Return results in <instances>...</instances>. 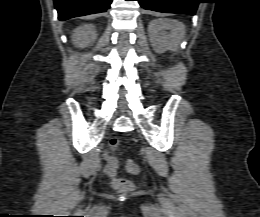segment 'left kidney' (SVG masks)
I'll return each mask as SVG.
<instances>
[{
	"label": "left kidney",
	"instance_id": "obj_1",
	"mask_svg": "<svg viewBox=\"0 0 260 217\" xmlns=\"http://www.w3.org/2000/svg\"><path fill=\"white\" fill-rule=\"evenodd\" d=\"M162 30H171V35L162 36ZM149 34L151 45L157 53H163L166 50L175 51L180 41L174 27L164 21H151L149 24Z\"/></svg>",
	"mask_w": 260,
	"mask_h": 217
}]
</instances>
